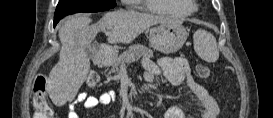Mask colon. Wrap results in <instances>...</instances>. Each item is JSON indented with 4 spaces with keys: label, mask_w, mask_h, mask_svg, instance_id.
I'll return each instance as SVG.
<instances>
[{
    "label": "colon",
    "mask_w": 273,
    "mask_h": 118,
    "mask_svg": "<svg viewBox=\"0 0 273 118\" xmlns=\"http://www.w3.org/2000/svg\"><path fill=\"white\" fill-rule=\"evenodd\" d=\"M196 72L201 78H208L211 70L206 65H198ZM99 82V76L95 72L88 74L86 78V85L89 88L95 87ZM47 80L44 76H37L33 83V101L36 109V118H53L54 112L50 106L49 98L47 95Z\"/></svg>",
    "instance_id": "obj_1"
}]
</instances>
